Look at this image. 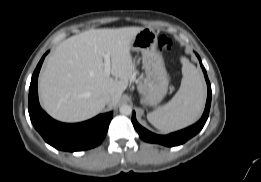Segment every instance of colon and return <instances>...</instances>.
I'll return each mask as SVG.
<instances>
[{
	"label": "colon",
	"instance_id": "colon-1",
	"mask_svg": "<svg viewBox=\"0 0 261 182\" xmlns=\"http://www.w3.org/2000/svg\"><path fill=\"white\" fill-rule=\"evenodd\" d=\"M158 46L162 52H167L173 47V41L169 37L162 35L158 39Z\"/></svg>",
	"mask_w": 261,
	"mask_h": 182
}]
</instances>
